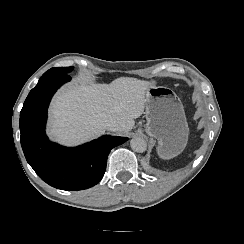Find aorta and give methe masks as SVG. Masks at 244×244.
I'll return each mask as SVG.
<instances>
[{
  "mask_svg": "<svg viewBox=\"0 0 244 244\" xmlns=\"http://www.w3.org/2000/svg\"><path fill=\"white\" fill-rule=\"evenodd\" d=\"M130 146L134 152L143 153L147 149V142L141 137H134L130 140Z\"/></svg>",
  "mask_w": 244,
  "mask_h": 244,
  "instance_id": "1",
  "label": "aorta"
}]
</instances>
